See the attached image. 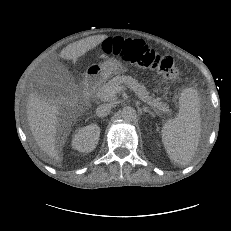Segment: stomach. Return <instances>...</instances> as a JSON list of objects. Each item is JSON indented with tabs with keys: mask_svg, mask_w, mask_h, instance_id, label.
I'll list each match as a JSON object with an SVG mask.
<instances>
[{
	"mask_svg": "<svg viewBox=\"0 0 231 231\" xmlns=\"http://www.w3.org/2000/svg\"><path fill=\"white\" fill-rule=\"evenodd\" d=\"M125 71V68L120 61L116 59H107L100 64L90 66L85 74L86 78L96 81H105L112 75L120 74Z\"/></svg>",
	"mask_w": 231,
	"mask_h": 231,
	"instance_id": "stomach-1",
	"label": "stomach"
}]
</instances>
